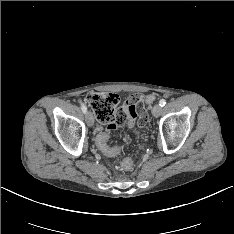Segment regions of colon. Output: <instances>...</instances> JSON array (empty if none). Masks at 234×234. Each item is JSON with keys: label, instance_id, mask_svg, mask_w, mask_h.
Listing matches in <instances>:
<instances>
[{"label": "colon", "instance_id": "5ec220e1", "mask_svg": "<svg viewBox=\"0 0 234 234\" xmlns=\"http://www.w3.org/2000/svg\"><path fill=\"white\" fill-rule=\"evenodd\" d=\"M86 102L91 106L96 118L99 122L107 124L106 128L98 127L94 140L101 150V152L109 157H115L122 153L120 146H110L108 141L115 132L121 130L120 126H123L127 121V116L124 112L117 110L118 96L113 93H89L85 97ZM156 97L153 94L147 95L145 98L146 103L151 104L155 102ZM141 130L136 128L132 137L138 139L140 137ZM145 143L140 141L138 147H136L131 156L138 158L143 151ZM133 160L130 158L125 159L122 162V168L124 170H131L133 168Z\"/></svg>", "mask_w": 234, "mask_h": 234}]
</instances>
